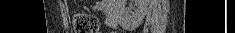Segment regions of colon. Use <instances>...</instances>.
Returning a JSON list of instances; mask_svg holds the SVG:
<instances>
[{"label": "colon", "mask_w": 235, "mask_h": 33, "mask_svg": "<svg viewBox=\"0 0 235 33\" xmlns=\"http://www.w3.org/2000/svg\"><path fill=\"white\" fill-rule=\"evenodd\" d=\"M73 30L75 33H98V19L85 12H76L71 19Z\"/></svg>", "instance_id": "colon-1"}]
</instances>
